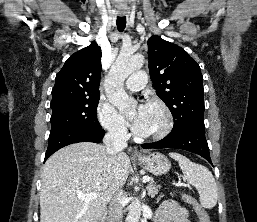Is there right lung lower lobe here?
<instances>
[{
  "mask_svg": "<svg viewBox=\"0 0 257 222\" xmlns=\"http://www.w3.org/2000/svg\"><path fill=\"white\" fill-rule=\"evenodd\" d=\"M105 131L100 130H86V129H68L56 134L50 135L48 139V148L45 154L46 161L58 149L69 144L78 142H94L100 143Z\"/></svg>",
  "mask_w": 257,
  "mask_h": 222,
  "instance_id": "obj_1",
  "label": "right lung lower lobe"
}]
</instances>
